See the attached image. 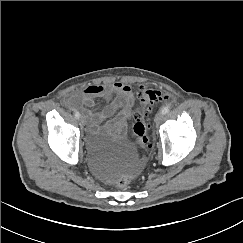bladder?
Here are the masks:
<instances>
[{
    "instance_id": "1",
    "label": "bladder",
    "mask_w": 243,
    "mask_h": 243,
    "mask_svg": "<svg viewBox=\"0 0 243 243\" xmlns=\"http://www.w3.org/2000/svg\"><path fill=\"white\" fill-rule=\"evenodd\" d=\"M89 146L99 154L114 152L121 175L138 172L143 161L136 149L129 145L118 129L107 121H100L88 131Z\"/></svg>"
}]
</instances>
